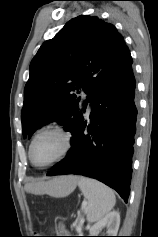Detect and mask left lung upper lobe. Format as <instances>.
<instances>
[{
  "label": "left lung upper lobe",
  "mask_w": 158,
  "mask_h": 237,
  "mask_svg": "<svg viewBox=\"0 0 158 237\" xmlns=\"http://www.w3.org/2000/svg\"><path fill=\"white\" fill-rule=\"evenodd\" d=\"M131 64L130 51L114 25L89 15L70 20L31 61L21 113L23 137L54 120L72 134L87 104L75 93L83 90L90 102Z\"/></svg>",
  "instance_id": "obj_1"
}]
</instances>
